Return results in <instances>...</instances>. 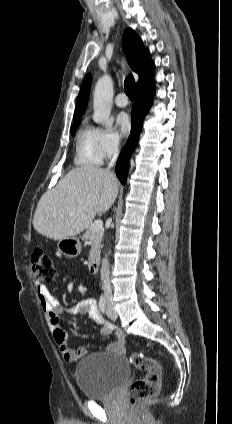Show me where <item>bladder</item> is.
<instances>
[{
    "label": "bladder",
    "mask_w": 232,
    "mask_h": 424,
    "mask_svg": "<svg viewBox=\"0 0 232 424\" xmlns=\"http://www.w3.org/2000/svg\"><path fill=\"white\" fill-rule=\"evenodd\" d=\"M131 367L125 357L89 354L76 367L75 379L81 394L88 399H104L130 377Z\"/></svg>",
    "instance_id": "31cf9c89"
}]
</instances>
